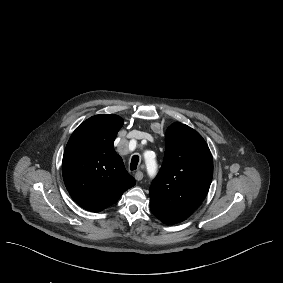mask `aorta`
<instances>
[{
	"mask_svg": "<svg viewBox=\"0 0 283 283\" xmlns=\"http://www.w3.org/2000/svg\"><path fill=\"white\" fill-rule=\"evenodd\" d=\"M145 163L147 167V172L150 177L154 176L157 171V163L155 159H153V152L147 151L144 153Z\"/></svg>",
	"mask_w": 283,
	"mask_h": 283,
	"instance_id": "aorta-1",
	"label": "aorta"
}]
</instances>
